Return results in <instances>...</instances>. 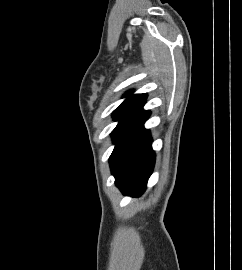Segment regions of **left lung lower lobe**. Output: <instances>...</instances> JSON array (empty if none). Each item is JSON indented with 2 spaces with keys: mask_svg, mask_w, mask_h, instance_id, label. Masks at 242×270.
Listing matches in <instances>:
<instances>
[{
  "mask_svg": "<svg viewBox=\"0 0 242 270\" xmlns=\"http://www.w3.org/2000/svg\"><path fill=\"white\" fill-rule=\"evenodd\" d=\"M145 101L123 117L112 131L115 148L109 158L115 184L126 195L139 196L145 189L154 163L149 130L143 127L150 112Z\"/></svg>",
  "mask_w": 242,
  "mask_h": 270,
  "instance_id": "obj_1",
  "label": "left lung lower lobe"
}]
</instances>
